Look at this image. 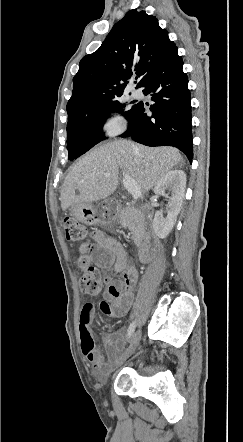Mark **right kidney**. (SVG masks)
<instances>
[{
  "label": "right kidney",
  "instance_id": "obj_1",
  "mask_svg": "<svg viewBox=\"0 0 243 442\" xmlns=\"http://www.w3.org/2000/svg\"><path fill=\"white\" fill-rule=\"evenodd\" d=\"M186 188V174L184 171L175 169L166 173L155 185L156 195H165V191L171 192L167 205V216L164 217L162 211H156L153 228L155 234L161 238H166L173 229L177 216L180 213Z\"/></svg>",
  "mask_w": 243,
  "mask_h": 442
}]
</instances>
